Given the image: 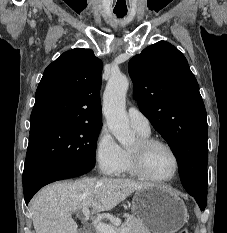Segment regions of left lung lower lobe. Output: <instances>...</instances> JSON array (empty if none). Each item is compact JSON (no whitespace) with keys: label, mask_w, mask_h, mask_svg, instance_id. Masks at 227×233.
<instances>
[{"label":"left lung lower lobe","mask_w":227,"mask_h":233,"mask_svg":"<svg viewBox=\"0 0 227 233\" xmlns=\"http://www.w3.org/2000/svg\"><path fill=\"white\" fill-rule=\"evenodd\" d=\"M191 196H193L196 200V202L198 203L199 207L201 210H204L206 205H207V197H203L200 196L198 194H190Z\"/></svg>","instance_id":"obj_1"}]
</instances>
